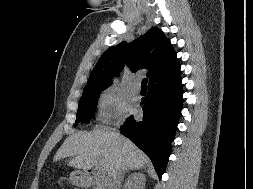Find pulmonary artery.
Here are the masks:
<instances>
[{
    "mask_svg": "<svg viewBox=\"0 0 253 189\" xmlns=\"http://www.w3.org/2000/svg\"><path fill=\"white\" fill-rule=\"evenodd\" d=\"M133 89L136 93H139L141 90V83L140 81H136L133 85Z\"/></svg>",
    "mask_w": 253,
    "mask_h": 189,
    "instance_id": "obj_1",
    "label": "pulmonary artery"
}]
</instances>
